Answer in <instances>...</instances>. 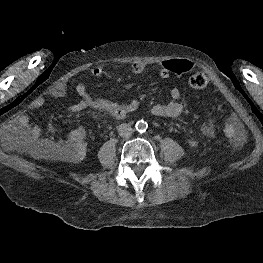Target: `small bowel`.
I'll return each mask as SVG.
<instances>
[{
  "label": "small bowel",
  "instance_id": "c3829d8e",
  "mask_svg": "<svg viewBox=\"0 0 263 263\" xmlns=\"http://www.w3.org/2000/svg\"><path fill=\"white\" fill-rule=\"evenodd\" d=\"M187 66V72L193 67V63L189 60H184ZM146 65L141 61H135L131 65V70L135 74H140L145 71ZM173 73L171 68L167 65L166 61L162 62L161 68L159 70V75L161 78L166 79ZM91 74L95 77H101L103 75L109 76L107 72L103 70L101 66H95L91 69ZM110 77V76H109ZM126 87H131L128 84ZM75 92L80 97V100L69 107L71 112H81L87 108L96 109L99 111H105L108 114L116 117L124 116L126 113L135 111L138 108V102L132 101L125 105H120L116 102L93 98L88 92L87 87L83 83H78L75 86ZM67 94L66 83H58L49 90V95L54 98H62ZM172 100L166 104H156L151 108V113L158 117H171L176 118L183 113L184 106L179 101L181 97V91L179 88H173L170 92ZM44 104V99H38V105L42 106ZM236 122V118L231 116L229 119ZM19 125L21 128V134L24 138L26 144L31 148V152L36 155H42L47 153L49 150H53L58 147L64 141H72L82 143L86 137V131L82 127H78L72 130L66 139H61L58 137V131L53 125H49L48 131L50 136H42V131L37 125H33L29 121L28 116H22L19 119ZM209 132L206 136L213 137L215 134L214 125L212 121L207 124Z\"/></svg>",
  "mask_w": 263,
  "mask_h": 263
}]
</instances>
